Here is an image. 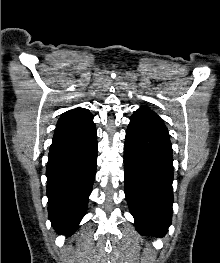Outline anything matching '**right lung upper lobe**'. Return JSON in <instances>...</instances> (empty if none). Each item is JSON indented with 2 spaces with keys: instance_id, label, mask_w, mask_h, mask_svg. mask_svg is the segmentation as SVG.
Instances as JSON below:
<instances>
[{
  "instance_id": "right-lung-upper-lobe-1",
  "label": "right lung upper lobe",
  "mask_w": 220,
  "mask_h": 263,
  "mask_svg": "<svg viewBox=\"0 0 220 263\" xmlns=\"http://www.w3.org/2000/svg\"><path fill=\"white\" fill-rule=\"evenodd\" d=\"M93 116L85 108L69 110L59 119L56 132L60 135H80L94 128Z\"/></svg>"
}]
</instances>
